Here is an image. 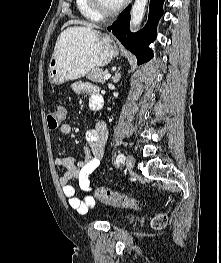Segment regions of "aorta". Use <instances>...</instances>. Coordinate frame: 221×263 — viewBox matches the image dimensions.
<instances>
[{
    "mask_svg": "<svg viewBox=\"0 0 221 263\" xmlns=\"http://www.w3.org/2000/svg\"><path fill=\"white\" fill-rule=\"evenodd\" d=\"M147 4L148 0H135L131 9L130 29L132 31H136L140 26Z\"/></svg>",
    "mask_w": 221,
    "mask_h": 263,
    "instance_id": "1",
    "label": "aorta"
}]
</instances>
